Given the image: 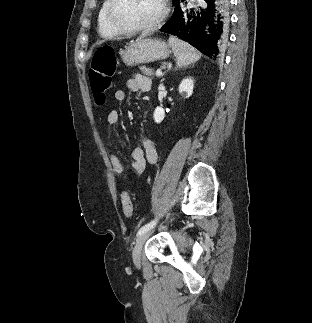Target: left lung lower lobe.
Instances as JSON below:
<instances>
[{
    "mask_svg": "<svg viewBox=\"0 0 312 323\" xmlns=\"http://www.w3.org/2000/svg\"><path fill=\"white\" fill-rule=\"evenodd\" d=\"M180 0L171 19L160 29L187 41L203 54L220 57L228 42L229 3L226 0H204L203 7L190 8Z\"/></svg>",
    "mask_w": 312,
    "mask_h": 323,
    "instance_id": "obj_1",
    "label": "left lung lower lobe"
}]
</instances>
